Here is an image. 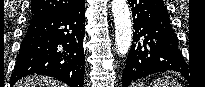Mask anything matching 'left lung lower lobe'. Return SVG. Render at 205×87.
Listing matches in <instances>:
<instances>
[{"instance_id":"obj_1","label":"left lung lower lobe","mask_w":205,"mask_h":87,"mask_svg":"<svg viewBox=\"0 0 205 87\" xmlns=\"http://www.w3.org/2000/svg\"><path fill=\"white\" fill-rule=\"evenodd\" d=\"M133 15V44L122 74V87L150 74L174 70L186 76L187 64L162 0H128Z\"/></svg>"}]
</instances>
